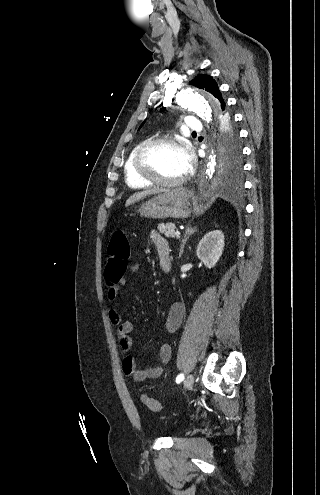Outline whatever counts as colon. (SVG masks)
I'll use <instances>...</instances> for the list:
<instances>
[{"label":"colon","instance_id":"5ec220e1","mask_svg":"<svg viewBox=\"0 0 320 495\" xmlns=\"http://www.w3.org/2000/svg\"><path fill=\"white\" fill-rule=\"evenodd\" d=\"M130 259V248L127 235L122 230L113 233L108 249L105 267V279L109 283H117L123 276ZM141 402L152 412L162 409L161 403L147 395H141Z\"/></svg>","mask_w":320,"mask_h":495}]
</instances>
